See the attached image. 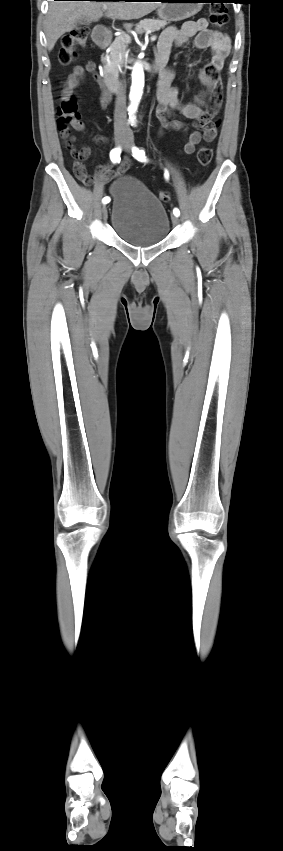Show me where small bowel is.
<instances>
[{
  "mask_svg": "<svg viewBox=\"0 0 283 851\" xmlns=\"http://www.w3.org/2000/svg\"><path fill=\"white\" fill-rule=\"evenodd\" d=\"M191 39H194V44L198 49L210 48L212 57L210 67L200 69L198 72V77L205 86V89L197 95L196 103L182 104L178 97V89L171 86L174 71L169 66V59L174 46L186 44ZM229 52V37L221 32L209 29L208 21L204 18L196 21H186L179 28L169 26L162 32L158 40L156 61L162 62L164 66L157 90L159 104L156 108V118L164 128L175 131L182 130L186 133V141L182 148L184 154L189 155L194 153L196 145L202 139L207 140V136L205 131L203 134L198 130L188 131L186 124L175 117L173 111L194 120L196 128H205L206 124L216 115L220 107L221 80L218 73L222 70ZM85 73H96V65L93 61L86 62L84 66L76 65L73 67L62 92L63 99H68L72 96L73 91L79 86ZM107 83L108 80L106 77L101 76L98 78L99 91L101 92V107L103 109L107 108L113 97V92L108 89ZM73 126L77 130L84 128L82 122ZM61 137L66 141L67 148L74 158V166H81L85 169L82 161L90 156V147L86 146L80 150L76 149L72 145L74 137L71 135L69 129L61 131ZM93 141L95 143H105L107 139L103 136H97ZM128 167L129 161L125 160L121 164L120 170L125 171ZM113 174L111 164L100 165L97 169V177L102 183L107 182Z\"/></svg>",
  "mask_w": 283,
  "mask_h": 851,
  "instance_id": "obj_1",
  "label": "small bowel"
}]
</instances>
